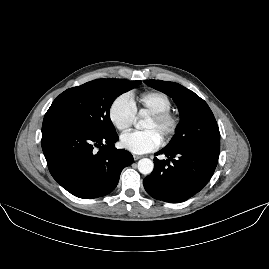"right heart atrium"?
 <instances>
[{
  "label": "right heart atrium",
  "mask_w": 269,
  "mask_h": 269,
  "mask_svg": "<svg viewBox=\"0 0 269 269\" xmlns=\"http://www.w3.org/2000/svg\"><path fill=\"white\" fill-rule=\"evenodd\" d=\"M108 118L117 130L130 129L136 122L133 98L127 93L116 96L108 108Z\"/></svg>",
  "instance_id": "d8ad5b80"
}]
</instances>
